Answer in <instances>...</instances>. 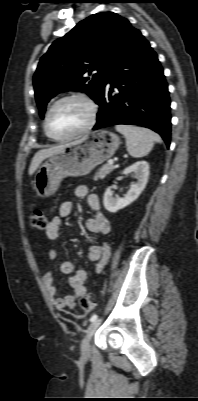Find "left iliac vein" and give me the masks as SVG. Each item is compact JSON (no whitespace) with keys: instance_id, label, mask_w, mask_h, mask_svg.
Masks as SVG:
<instances>
[{"instance_id":"left-iliac-vein-1","label":"left iliac vein","mask_w":198,"mask_h":401,"mask_svg":"<svg viewBox=\"0 0 198 401\" xmlns=\"http://www.w3.org/2000/svg\"><path fill=\"white\" fill-rule=\"evenodd\" d=\"M101 323L100 319L93 321L87 328L84 339L81 342V353L84 358L90 353V340Z\"/></svg>"}]
</instances>
